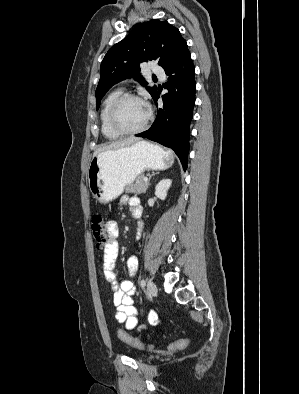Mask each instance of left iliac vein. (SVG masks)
Here are the masks:
<instances>
[{
	"instance_id": "1",
	"label": "left iliac vein",
	"mask_w": 299,
	"mask_h": 394,
	"mask_svg": "<svg viewBox=\"0 0 299 394\" xmlns=\"http://www.w3.org/2000/svg\"><path fill=\"white\" fill-rule=\"evenodd\" d=\"M147 292L150 296H155L157 294V287L151 280L147 284Z\"/></svg>"
}]
</instances>
